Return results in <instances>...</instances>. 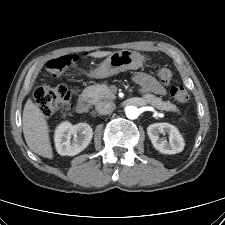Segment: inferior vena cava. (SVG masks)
<instances>
[{"label":"inferior vena cava","instance_id":"602c4592","mask_svg":"<svg viewBox=\"0 0 225 225\" xmlns=\"http://www.w3.org/2000/svg\"><path fill=\"white\" fill-rule=\"evenodd\" d=\"M98 113L107 115L115 109V104L111 101H98L95 105Z\"/></svg>","mask_w":225,"mask_h":225}]
</instances>
